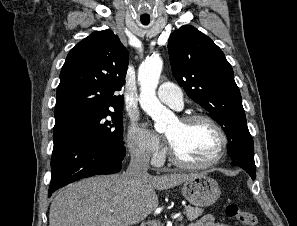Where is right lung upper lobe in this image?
Instances as JSON below:
<instances>
[{"label": "right lung upper lobe", "instance_id": "cb5924a9", "mask_svg": "<svg viewBox=\"0 0 297 226\" xmlns=\"http://www.w3.org/2000/svg\"><path fill=\"white\" fill-rule=\"evenodd\" d=\"M129 57L111 30L96 31L69 52L60 73L55 120L83 112L122 110L118 95L125 82Z\"/></svg>", "mask_w": 297, "mask_h": 226}]
</instances>
